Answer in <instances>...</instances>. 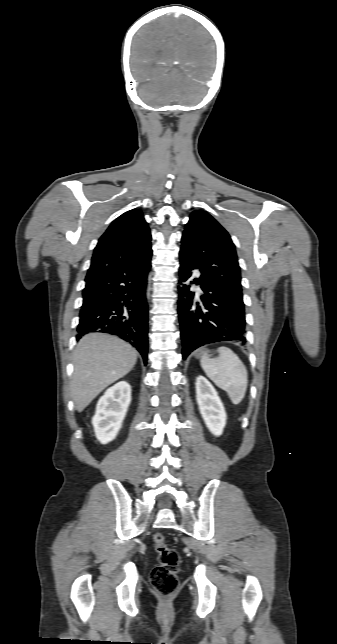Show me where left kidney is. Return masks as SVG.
<instances>
[{"instance_id":"1","label":"left kidney","mask_w":337,"mask_h":644,"mask_svg":"<svg viewBox=\"0 0 337 644\" xmlns=\"http://www.w3.org/2000/svg\"><path fill=\"white\" fill-rule=\"evenodd\" d=\"M196 400L207 428L213 435L220 436L226 425L227 415L217 391L204 376L196 379Z\"/></svg>"}]
</instances>
